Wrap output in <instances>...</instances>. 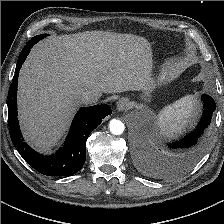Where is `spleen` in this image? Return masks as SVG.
Wrapping results in <instances>:
<instances>
[{"mask_svg":"<svg viewBox=\"0 0 224 224\" xmlns=\"http://www.w3.org/2000/svg\"><path fill=\"white\" fill-rule=\"evenodd\" d=\"M196 106L197 100L193 95H186L168 105L158 117L163 132L170 136L185 129L196 116Z\"/></svg>","mask_w":224,"mask_h":224,"instance_id":"obj_1","label":"spleen"}]
</instances>
